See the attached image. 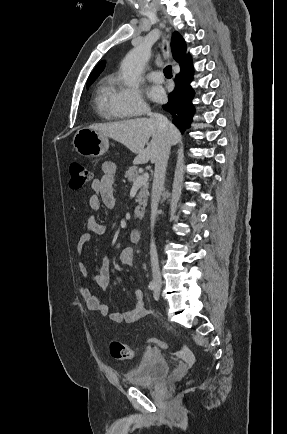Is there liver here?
I'll return each instance as SVG.
<instances>
[{
    "label": "liver",
    "mask_w": 287,
    "mask_h": 434,
    "mask_svg": "<svg viewBox=\"0 0 287 434\" xmlns=\"http://www.w3.org/2000/svg\"><path fill=\"white\" fill-rule=\"evenodd\" d=\"M89 128L120 142L130 151L137 154L134 163H146L149 160L151 163H154L159 147V131L153 118H137L112 123H100L91 125ZM169 128L171 145H176L181 141V134L170 122ZM150 137L152 139L148 142Z\"/></svg>",
    "instance_id": "obj_1"
}]
</instances>
